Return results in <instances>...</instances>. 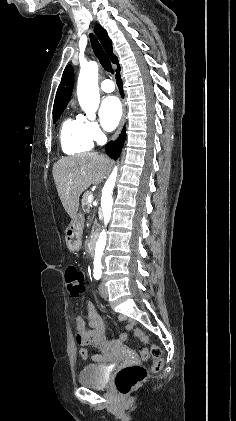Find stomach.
I'll use <instances>...</instances> for the list:
<instances>
[{
  "mask_svg": "<svg viewBox=\"0 0 236 421\" xmlns=\"http://www.w3.org/2000/svg\"><path fill=\"white\" fill-rule=\"evenodd\" d=\"M83 217L76 215L65 231V241L69 251H79L82 247Z\"/></svg>",
  "mask_w": 236,
  "mask_h": 421,
  "instance_id": "stomach-1",
  "label": "stomach"
}]
</instances>
